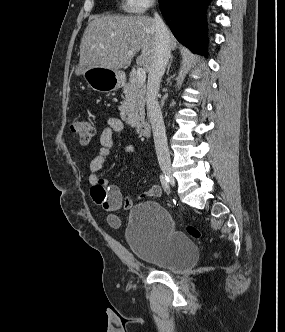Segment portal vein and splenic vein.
<instances>
[{
  "instance_id": "portal-vein-and-splenic-vein-1",
  "label": "portal vein and splenic vein",
  "mask_w": 285,
  "mask_h": 332,
  "mask_svg": "<svg viewBox=\"0 0 285 332\" xmlns=\"http://www.w3.org/2000/svg\"><path fill=\"white\" fill-rule=\"evenodd\" d=\"M132 52H128V54H131ZM137 80L140 83H144L146 80V71L143 68H138L136 73Z\"/></svg>"
}]
</instances>
